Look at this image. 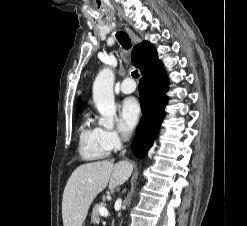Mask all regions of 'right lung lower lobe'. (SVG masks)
Here are the masks:
<instances>
[{
  "mask_svg": "<svg viewBox=\"0 0 247 226\" xmlns=\"http://www.w3.org/2000/svg\"><path fill=\"white\" fill-rule=\"evenodd\" d=\"M141 73L139 94L143 114L132 142V152L138 158H144L152 146L168 101L165 93L169 82L155 47L151 49V57Z\"/></svg>",
  "mask_w": 247,
  "mask_h": 226,
  "instance_id": "98d812e1",
  "label": "right lung lower lobe"
}]
</instances>
